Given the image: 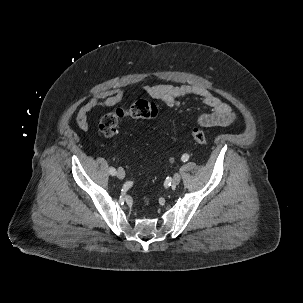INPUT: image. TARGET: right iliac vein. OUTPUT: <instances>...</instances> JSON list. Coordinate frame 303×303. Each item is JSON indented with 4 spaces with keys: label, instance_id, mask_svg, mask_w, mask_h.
<instances>
[{
    "label": "right iliac vein",
    "instance_id": "63e3f726",
    "mask_svg": "<svg viewBox=\"0 0 303 303\" xmlns=\"http://www.w3.org/2000/svg\"><path fill=\"white\" fill-rule=\"evenodd\" d=\"M116 175L119 179H124L125 171L123 170V168H118Z\"/></svg>",
    "mask_w": 303,
    "mask_h": 303
}]
</instances>
